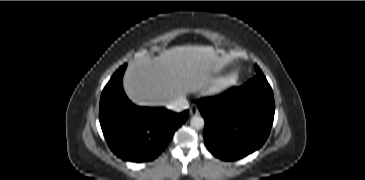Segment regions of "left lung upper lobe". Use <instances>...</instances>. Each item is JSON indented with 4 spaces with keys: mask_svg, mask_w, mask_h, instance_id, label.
Segmentation results:
<instances>
[{
    "mask_svg": "<svg viewBox=\"0 0 365 180\" xmlns=\"http://www.w3.org/2000/svg\"><path fill=\"white\" fill-rule=\"evenodd\" d=\"M255 70H256L257 75L258 74H263L262 71L260 70V68L257 65H255Z\"/></svg>",
    "mask_w": 365,
    "mask_h": 180,
    "instance_id": "obj_1",
    "label": "left lung upper lobe"
}]
</instances>
